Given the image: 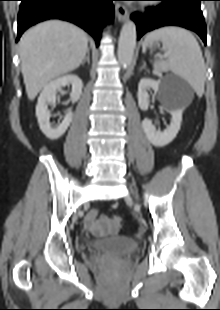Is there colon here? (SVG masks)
Returning <instances> with one entry per match:
<instances>
[{"label":"colon","mask_w":220,"mask_h":310,"mask_svg":"<svg viewBox=\"0 0 220 310\" xmlns=\"http://www.w3.org/2000/svg\"><path fill=\"white\" fill-rule=\"evenodd\" d=\"M121 223H122V220L120 217H117V216L113 217L112 222H111V230L116 231L118 228H120Z\"/></svg>","instance_id":"1"}]
</instances>
